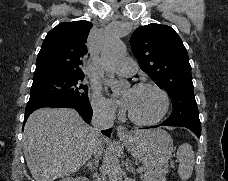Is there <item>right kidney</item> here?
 Wrapping results in <instances>:
<instances>
[{"instance_id": "obj_1", "label": "right kidney", "mask_w": 228, "mask_h": 181, "mask_svg": "<svg viewBox=\"0 0 228 181\" xmlns=\"http://www.w3.org/2000/svg\"><path fill=\"white\" fill-rule=\"evenodd\" d=\"M63 181H87L85 177H77V179H72V177H67V179H63Z\"/></svg>"}]
</instances>
